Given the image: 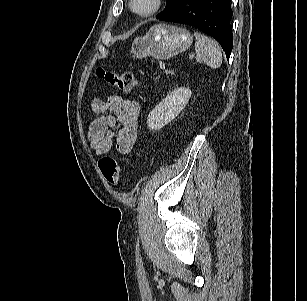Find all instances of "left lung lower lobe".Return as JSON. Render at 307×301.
Wrapping results in <instances>:
<instances>
[{
  "label": "left lung lower lobe",
  "instance_id": "left-lung-lower-lobe-1",
  "mask_svg": "<svg viewBox=\"0 0 307 301\" xmlns=\"http://www.w3.org/2000/svg\"><path fill=\"white\" fill-rule=\"evenodd\" d=\"M232 15L230 0H180L170 12L158 19L200 29L220 43L229 59L233 48Z\"/></svg>",
  "mask_w": 307,
  "mask_h": 301
}]
</instances>
